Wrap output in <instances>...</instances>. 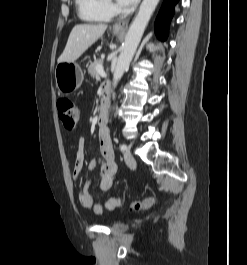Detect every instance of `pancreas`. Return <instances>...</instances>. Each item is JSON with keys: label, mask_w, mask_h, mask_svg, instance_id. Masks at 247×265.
I'll return each instance as SVG.
<instances>
[{"label": "pancreas", "mask_w": 247, "mask_h": 265, "mask_svg": "<svg viewBox=\"0 0 247 265\" xmlns=\"http://www.w3.org/2000/svg\"><path fill=\"white\" fill-rule=\"evenodd\" d=\"M102 66L103 67V60L99 59L94 62H92L88 67V73L91 77L99 78V72L97 71V67Z\"/></svg>", "instance_id": "pancreas-1"}]
</instances>
